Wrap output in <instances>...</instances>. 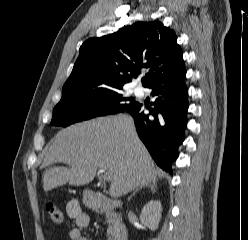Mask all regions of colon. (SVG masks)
<instances>
[{
	"instance_id": "1",
	"label": "colon",
	"mask_w": 248,
	"mask_h": 240,
	"mask_svg": "<svg viewBox=\"0 0 248 240\" xmlns=\"http://www.w3.org/2000/svg\"><path fill=\"white\" fill-rule=\"evenodd\" d=\"M47 218L54 224L60 225L64 221V213L53 204H48L45 208Z\"/></svg>"
}]
</instances>
